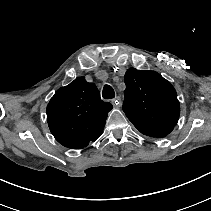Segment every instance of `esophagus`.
<instances>
[{"mask_svg":"<svg viewBox=\"0 0 211 211\" xmlns=\"http://www.w3.org/2000/svg\"><path fill=\"white\" fill-rule=\"evenodd\" d=\"M112 104L116 108H120L122 106V101L120 97H116L115 99L112 100Z\"/></svg>","mask_w":211,"mask_h":211,"instance_id":"1","label":"esophagus"}]
</instances>
